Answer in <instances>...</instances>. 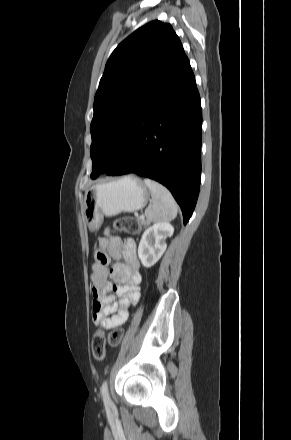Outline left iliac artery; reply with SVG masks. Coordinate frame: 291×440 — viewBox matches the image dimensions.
<instances>
[{
    "label": "left iliac artery",
    "mask_w": 291,
    "mask_h": 440,
    "mask_svg": "<svg viewBox=\"0 0 291 440\" xmlns=\"http://www.w3.org/2000/svg\"><path fill=\"white\" fill-rule=\"evenodd\" d=\"M104 404L109 406L111 404V398L108 391V383L107 380H104L100 389Z\"/></svg>",
    "instance_id": "44dca946"
}]
</instances>
